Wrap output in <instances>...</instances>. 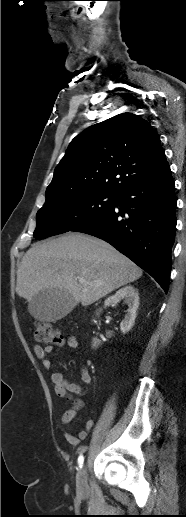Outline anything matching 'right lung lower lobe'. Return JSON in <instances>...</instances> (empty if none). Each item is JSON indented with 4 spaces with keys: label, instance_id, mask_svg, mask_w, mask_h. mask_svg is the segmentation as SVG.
<instances>
[{
    "label": "right lung lower lobe",
    "instance_id": "obj_1",
    "mask_svg": "<svg viewBox=\"0 0 186 517\" xmlns=\"http://www.w3.org/2000/svg\"><path fill=\"white\" fill-rule=\"evenodd\" d=\"M174 186L168 167L160 175L126 189L110 210L72 231L110 243L167 293L177 222Z\"/></svg>",
    "mask_w": 186,
    "mask_h": 517
}]
</instances>
